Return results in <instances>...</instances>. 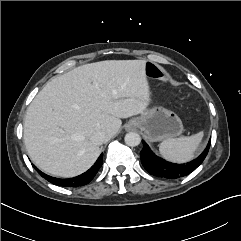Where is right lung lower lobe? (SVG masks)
<instances>
[{"label":"right lung lower lobe","mask_w":241,"mask_h":241,"mask_svg":"<svg viewBox=\"0 0 241 241\" xmlns=\"http://www.w3.org/2000/svg\"><path fill=\"white\" fill-rule=\"evenodd\" d=\"M102 159H103V154L99 156L95 164L88 171H86L85 173L79 176H76L74 178H69V179L54 178L42 173L35 166L34 168L40 173L41 176H43L45 179H47L49 182L53 184L63 186V187H78V186H83L88 184L94 178V176L102 166Z\"/></svg>","instance_id":"right-lung-lower-lobe-1"}]
</instances>
